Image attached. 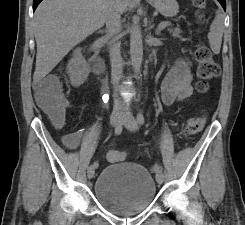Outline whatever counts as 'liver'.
<instances>
[{
  "instance_id": "obj_1",
  "label": "liver",
  "mask_w": 245,
  "mask_h": 225,
  "mask_svg": "<svg viewBox=\"0 0 245 225\" xmlns=\"http://www.w3.org/2000/svg\"><path fill=\"white\" fill-rule=\"evenodd\" d=\"M109 0H43L34 15V82L49 74L77 44L103 27ZM130 0H118L121 13Z\"/></svg>"
}]
</instances>
